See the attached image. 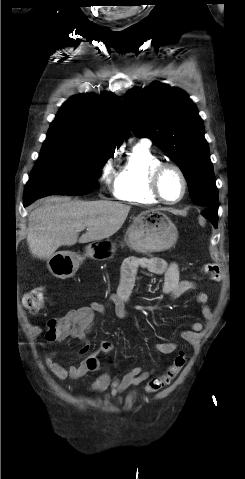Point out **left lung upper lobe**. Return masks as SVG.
<instances>
[{
    "label": "left lung upper lobe",
    "instance_id": "1",
    "mask_svg": "<svg viewBox=\"0 0 245 479\" xmlns=\"http://www.w3.org/2000/svg\"><path fill=\"white\" fill-rule=\"evenodd\" d=\"M132 130L150 138L182 170L192 201L201 207L217 205L209 147L203 121L188 95L166 84L132 89L123 101Z\"/></svg>",
    "mask_w": 245,
    "mask_h": 479
}]
</instances>
